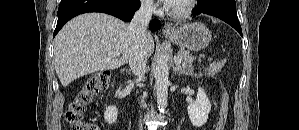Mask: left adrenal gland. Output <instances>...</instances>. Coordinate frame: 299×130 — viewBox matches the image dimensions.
<instances>
[{
	"label": "left adrenal gland",
	"instance_id": "1",
	"mask_svg": "<svg viewBox=\"0 0 299 130\" xmlns=\"http://www.w3.org/2000/svg\"><path fill=\"white\" fill-rule=\"evenodd\" d=\"M173 70H174V72H179L180 74L184 73V71L177 64L175 65Z\"/></svg>",
	"mask_w": 299,
	"mask_h": 130
}]
</instances>
